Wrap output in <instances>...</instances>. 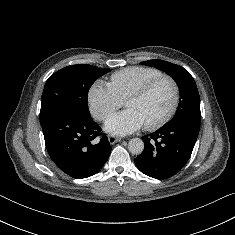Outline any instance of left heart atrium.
Returning <instances> with one entry per match:
<instances>
[{"label": "left heart atrium", "instance_id": "1", "mask_svg": "<svg viewBox=\"0 0 235 235\" xmlns=\"http://www.w3.org/2000/svg\"><path fill=\"white\" fill-rule=\"evenodd\" d=\"M143 126V120L132 109H126L123 112L112 115L105 123V129L117 135L130 134Z\"/></svg>", "mask_w": 235, "mask_h": 235}]
</instances>
